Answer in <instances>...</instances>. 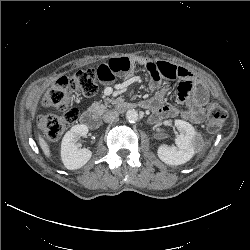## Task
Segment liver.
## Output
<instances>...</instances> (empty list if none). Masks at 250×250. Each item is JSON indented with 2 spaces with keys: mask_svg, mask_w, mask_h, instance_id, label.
<instances>
[{
  "mask_svg": "<svg viewBox=\"0 0 250 250\" xmlns=\"http://www.w3.org/2000/svg\"><path fill=\"white\" fill-rule=\"evenodd\" d=\"M38 140H39V145H40L43 153L45 154L46 157L50 158L51 152H50V148H49L47 142L44 140V138L40 134H38Z\"/></svg>",
  "mask_w": 250,
  "mask_h": 250,
  "instance_id": "6515ba94",
  "label": "liver"
}]
</instances>
